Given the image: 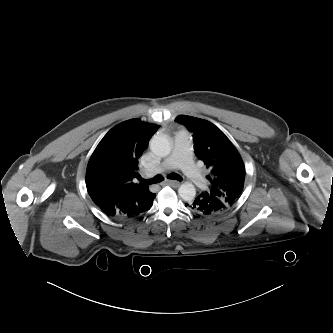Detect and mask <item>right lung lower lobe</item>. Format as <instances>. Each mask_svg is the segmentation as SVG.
Masks as SVG:
<instances>
[{
    "label": "right lung lower lobe",
    "mask_w": 333,
    "mask_h": 333,
    "mask_svg": "<svg viewBox=\"0 0 333 333\" xmlns=\"http://www.w3.org/2000/svg\"><path fill=\"white\" fill-rule=\"evenodd\" d=\"M156 196V195H155ZM154 196V198H155ZM153 198V199H154ZM153 201V200H152ZM152 206V205H151ZM101 210L107 214L108 216H112V217H117V218H122V219H127V218H131V217H136L139 214H133L130 215L129 213H126L125 211H123L121 208H118L116 206L113 205H108V206H103L100 207ZM151 208V207H150ZM143 213V212H142Z\"/></svg>",
    "instance_id": "1"
}]
</instances>
